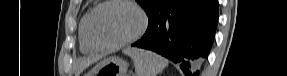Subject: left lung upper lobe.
Masks as SVG:
<instances>
[{
	"label": "left lung upper lobe",
	"instance_id": "obj_1",
	"mask_svg": "<svg viewBox=\"0 0 287 76\" xmlns=\"http://www.w3.org/2000/svg\"><path fill=\"white\" fill-rule=\"evenodd\" d=\"M136 1L142 6V8L149 16L156 8L163 5L168 0H136Z\"/></svg>",
	"mask_w": 287,
	"mask_h": 76
}]
</instances>
